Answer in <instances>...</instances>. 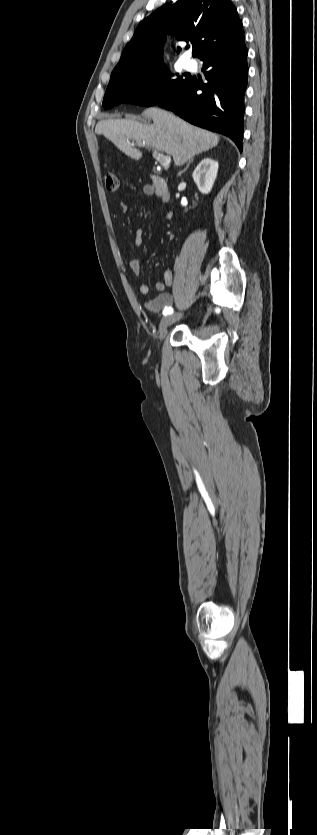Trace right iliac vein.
<instances>
[{"label": "right iliac vein", "instance_id": "1", "mask_svg": "<svg viewBox=\"0 0 317 835\" xmlns=\"http://www.w3.org/2000/svg\"><path fill=\"white\" fill-rule=\"evenodd\" d=\"M182 317H183V314H182V313H175V314H172V315H167L166 317H164V318L161 320V323H160V326H159V334H160V336H163V334L165 333V331L167 330V328H168L170 325H172L173 323H175V322H177L178 320H180Z\"/></svg>", "mask_w": 317, "mask_h": 835}]
</instances>
